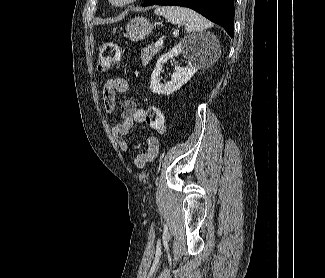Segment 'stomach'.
<instances>
[{
	"mask_svg": "<svg viewBox=\"0 0 325 278\" xmlns=\"http://www.w3.org/2000/svg\"><path fill=\"white\" fill-rule=\"evenodd\" d=\"M153 30V25L145 17H135L126 26V35L131 41L145 39Z\"/></svg>",
	"mask_w": 325,
	"mask_h": 278,
	"instance_id": "stomach-1",
	"label": "stomach"
}]
</instances>
